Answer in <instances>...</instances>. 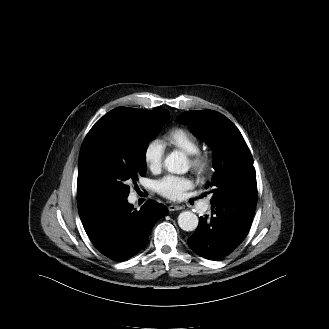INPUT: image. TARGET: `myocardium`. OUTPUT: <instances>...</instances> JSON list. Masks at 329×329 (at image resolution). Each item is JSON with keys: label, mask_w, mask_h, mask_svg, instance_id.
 <instances>
[{"label": "myocardium", "mask_w": 329, "mask_h": 329, "mask_svg": "<svg viewBox=\"0 0 329 329\" xmlns=\"http://www.w3.org/2000/svg\"><path fill=\"white\" fill-rule=\"evenodd\" d=\"M189 162L191 168L198 175L207 174L210 171L213 164V160L210 155L199 151L193 154H189Z\"/></svg>", "instance_id": "obj_1"}]
</instances>
